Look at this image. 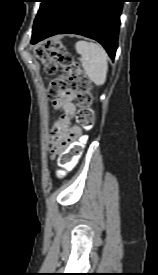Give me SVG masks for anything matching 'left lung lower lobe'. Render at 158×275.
Segmentation results:
<instances>
[{
  "label": "left lung lower lobe",
  "instance_id": "left-lung-lower-lobe-1",
  "mask_svg": "<svg viewBox=\"0 0 158 275\" xmlns=\"http://www.w3.org/2000/svg\"><path fill=\"white\" fill-rule=\"evenodd\" d=\"M123 0H53L31 43L56 34L74 33L98 41L114 59Z\"/></svg>",
  "mask_w": 158,
  "mask_h": 275
}]
</instances>
